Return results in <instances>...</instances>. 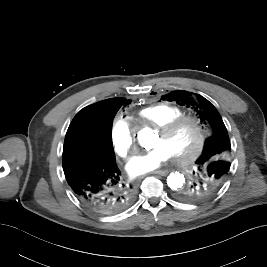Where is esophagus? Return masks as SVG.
Masks as SVG:
<instances>
[{
  "label": "esophagus",
  "mask_w": 267,
  "mask_h": 267,
  "mask_svg": "<svg viewBox=\"0 0 267 267\" xmlns=\"http://www.w3.org/2000/svg\"><path fill=\"white\" fill-rule=\"evenodd\" d=\"M152 174H159L161 176H165L168 174V171L167 170H158V171L152 172Z\"/></svg>",
  "instance_id": "34e87169"
}]
</instances>
